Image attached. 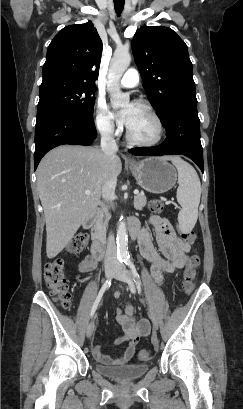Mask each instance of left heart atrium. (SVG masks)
<instances>
[{"label": "left heart atrium", "instance_id": "39dd6f15", "mask_svg": "<svg viewBox=\"0 0 243 409\" xmlns=\"http://www.w3.org/2000/svg\"><path fill=\"white\" fill-rule=\"evenodd\" d=\"M131 115H132V104L129 105L126 109H123L122 111L117 113L116 116H117L118 121L121 124L126 125L128 127L130 119H131Z\"/></svg>", "mask_w": 243, "mask_h": 409}]
</instances>
